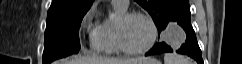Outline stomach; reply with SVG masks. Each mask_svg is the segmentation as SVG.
<instances>
[{"mask_svg":"<svg viewBox=\"0 0 242 64\" xmlns=\"http://www.w3.org/2000/svg\"><path fill=\"white\" fill-rule=\"evenodd\" d=\"M150 61L148 63H143V64H160L157 60L153 59V58H149Z\"/></svg>","mask_w":242,"mask_h":64,"instance_id":"1","label":"stomach"}]
</instances>
